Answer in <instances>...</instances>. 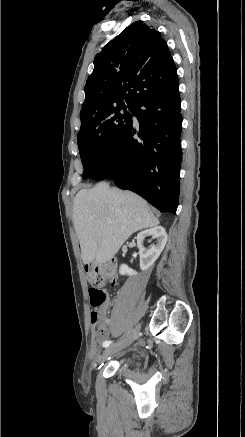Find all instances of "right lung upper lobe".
<instances>
[{
	"mask_svg": "<svg viewBox=\"0 0 245 437\" xmlns=\"http://www.w3.org/2000/svg\"><path fill=\"white\" fill-rule=\"evenodd\" d=\"M179 85L177 69L159 31L137 21L106 44L87 79L81 125L101 111L164 94Z\"/></svg>",
	"mask_w": 245,
	"mask_h": 437,
	"instance_id": "cb5924a9",
	"label": "right lung upper lobe"
}]
</instances>
